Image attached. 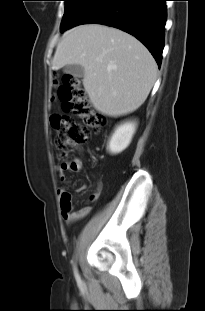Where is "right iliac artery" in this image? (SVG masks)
Instances as JSON below:
<instances>
[{
    "instance_id": "82829eb1",
    "label": "right iliac artery",
    "mask_w": 205,
    "mask_h": 311,
    "mask_svg": "<svg viewBox=\"0 0 205 311\" xmlns=\"http://www.w3.org/2000/svg\"><path fill=\"white\" fill-rule=\"evenodd\" d=\"M73 267H74V275H75V278H76L77 282L79 283V282H81V278H80V276H79V273H78V271H77V268H76L75 263H73Z\"/></svg>"
}]
</instances>
